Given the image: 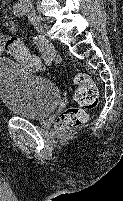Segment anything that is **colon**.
<instances>
[{
  "mask_svg": "<svg viewBox=\"0 0 123 201\" xmlns=\"http://www.w3.org/2000/svg\"><path fill=\"white\" fill-rule=\"evenodd\" d=\"M3 48L8 55L20 61L27 69L33 71L43 69L40 59L31 54L19 38L6 36ZM74 80L78 86L75 93L77 106L69 107L58 115L56 128L59 131L67 132L85 124L88 120V111L99 104L98 90L87 74L78 73Z\"/></svg>",
  "mask_w": 123,
  "mask_h": 201,
  "instance_id": "colon-1",
  "label": "colon"
}]
</instances>
